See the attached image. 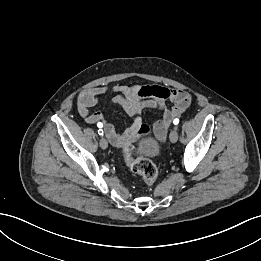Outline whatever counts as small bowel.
I'll list each match as a JSON object with an SVG mask.
<instances>
[{"label": "small bowel", "mask_w": 261, "mask_h": 261, "mask_svg": "<svg viewBox=\"0 0 261 261\" xmlns=\"http://www.w3.org/2000/svg\"><path fill=\"white\" fill-rule=\"evenodd\" d=\"M110 96L114 104L121 106L133 118V124L122 132H117L114 125L101 112H90L103 96ZM171 102V106H167ZM191 104V95L182 89L161 85L132 86H97L82 91L77 99V111L88 124H103L107 138L114 145H120L124 140L150 133V129L142 121L144 109L162 111V116L154 122L153 134L163 141L170 123L180 116Z\"/></svg>", "instance_id": "c3829d8e"}]
</instances>
